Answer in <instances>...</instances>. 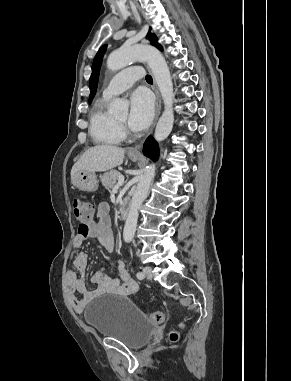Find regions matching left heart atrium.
<instances>
[{"instance_id": "obj_1", "label": "left heart atrium", "mask_w": 291, "mask_h": 381, "mask_svg": "<svg viewBox=\"0 0 291 381\" xmlns=\"http://www.w3.org/2000/svg\"><path fill=\"white\" fill-rule=\"evenodd\" d=\"M154 102L146 90H136L130 98L129 127L134 131L145 129L152 121Z\"/></svg>"}]
</instances>
